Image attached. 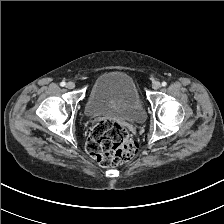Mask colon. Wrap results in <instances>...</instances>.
I'll return each instance as SVG.
<instances>
[{"instance_id": "obj_1", "label": "colon", "mask_w": 224, "mask_h": 224, "mask_svg": "<svg viewBox=\"0 0 224 224\" xmlns=\"http://www.w3.org/2000/svg\"><path fill=\"white\" fill-rule=\"evenodd\" d=\"M87 152L104 167H115L131 160L138 146L126 127L112 120L98 121L86 145Z\"/></svg>"}]
</instances>
